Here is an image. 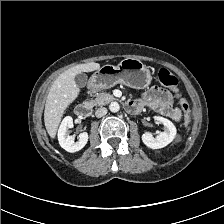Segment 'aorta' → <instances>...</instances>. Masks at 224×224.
Masks as SVG:
<instances>
[{
	"instance_id": "aorta-1",
	"label": "aorta",
	"mask_w": 224,
	"mask_h": 224,
	"mask_svg": "<svg viewBox=\"0 0 224 224\" xmlns=\"http://www.w3.org/2000/svg\"><path fill=\"white\" fill-rule=\"evenodd\" d=\"M109 109L111 112L115 113V112H118L119 109H120V105L117 103V102H112L110 105H109Z\"/></svg>"
}]
</instances>
